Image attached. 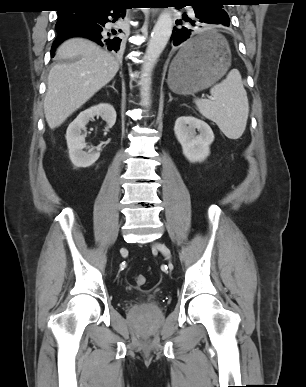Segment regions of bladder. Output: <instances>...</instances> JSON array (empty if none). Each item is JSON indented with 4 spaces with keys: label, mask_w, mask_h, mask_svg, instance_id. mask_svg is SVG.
Segmentation results:
<instances>
[{
    "label": "bladder",
    "mask_w": 306,
    "mask_h": 387,
    "mask_svg": "<svg viewBox=\"0 0 306 387\" xmlns=\"http://www.w3.org/2000/svg\"><path fill=\"white\" fill-rule=\"evenodd\" d=\"M141 306L146 307L148 306V303H143Z\"/></svg>",
    "instance_id": "bladder-1"
}]
</instances>
